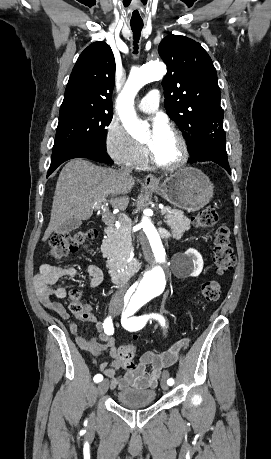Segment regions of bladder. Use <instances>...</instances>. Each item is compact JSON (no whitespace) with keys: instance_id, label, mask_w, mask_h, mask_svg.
<instances>
[{"instance_id":"obj_1","label":"bladder","mask_w":271,"mask_h":459,"mask_svg":"<svg viewBox=\"0 0 271 459\" xmlns=\"http://www.w3.org/2000/svg\"><path fill=\"white\" fill-rule=\"evenodd\" d=\"M155 392L153 389L140 390L135 387L127 388L119 392L118 404L148 405L154 403Z\"/></svg>"}]
</instances>
